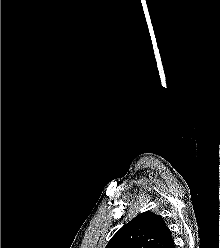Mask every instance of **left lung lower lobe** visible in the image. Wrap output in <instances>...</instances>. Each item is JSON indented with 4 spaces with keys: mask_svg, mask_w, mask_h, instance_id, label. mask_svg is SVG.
Listing matches in <instances>:
<instances>
[{
    "mask_svg": "<svg viewBox=\"0 0 220 248\" xmlns=\"http://www.w3.org/2000/svg\"><path fill=\"white\" fill-rule=\"evenodd\" d=\"M169 248H175L174 241H173V243L170 245Z\"/></svg>",
    "mask_w": 220,
    "mask_h": 248,
    "instance_id": "left-lung-lower-lobe-1",
    "label": "left lung lower lobe"
}]
</instances>
